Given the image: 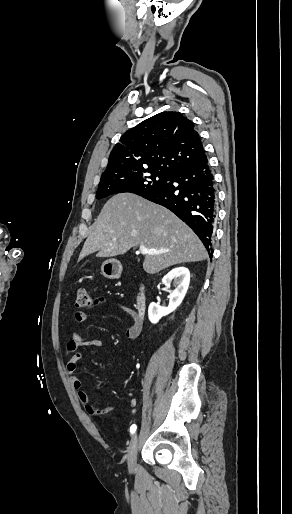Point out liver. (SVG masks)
Instances as JSON below:
<instances>
[{"instance_id":"obj_1","label":"liver","mask_w":292,"mask_h":514,"mask_svg":"<svg viewBox=\"0 0 292 514\" xmlns=\"http://www.w3.org/2000/svg\"><path fill=\"white\" fill-rule=\"evenodd\" d=\"M134 246L169 250L146 254L143 268L157 274L174 264L201 262L208 254L198 236L170 210L135 194H117L103 206L79 260L98 252V258L126 254Z\"/></svg>"}]
</instances>
